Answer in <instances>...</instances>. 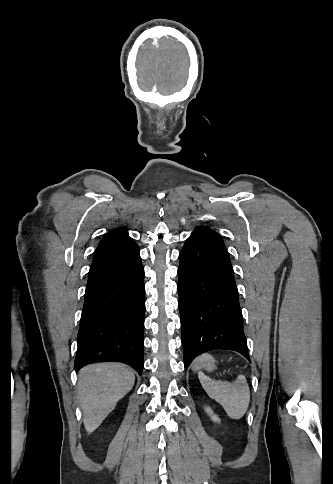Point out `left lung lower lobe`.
<instances>
[{
	"label": "left lung lower lobe",
	"instance_id": "left-lung-lower-lobe-1",
	"mask_svg": "<svg viewBox=\"0 0 333 484\" xmlns=\"http://www.w3.org/2000/svg\"><path fill=\"white\" fill-rule=\"evenodd\" d=\"M179 310L184 366L215 349L239 352L249 361L239 294L221 236L197 228L179 255Z\"/></svg>",
	"mask_w": 333,
	"mask_h": 484
}]
</instances>
